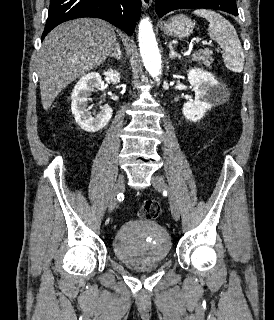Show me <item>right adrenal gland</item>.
<instances>
[{
	"mask_svg": "<svg viewBox=\"0 0 274 320\" xmlns=\"http://www.w3.org/2000/svg\"><path fill=\"white\" fill-rule=\"evenodd\" d=\"M109 58H116V60H122V52L120 48V44H115V50Z\"/></svg>",
	"mask_w": 274,
	"mask_h": 320,
	"instance_id": "2a0ac1e0",
	"label": "right adrenal gland"
}]
</instances>
